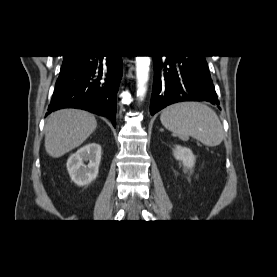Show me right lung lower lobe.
<instances>
[{
    "label": "right lung lower lobe",
    "instance_id": "98d812e1",
    "mask_svg": "<svg viewBox=\"0 0 277 277\" xmlns=\"http://www.w3.org/2000/svg\"><path fill=\"white\" fill-rule=\"evenodd\" d=\"M73 56L61 67L48 114L78 108L116 124V100L122 78L121 56Z\"/></svg>",
    "mask_w": 277,
    "mask_h": 277
}]
</instances>
